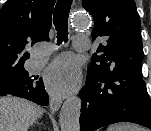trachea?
Returning <instances> with one entry per match:
<instances>
[{"mask_svg": "<svg viewBox=\"0 0 151 131\" xmlns=\"http://www.w3.org/2000/svg\"><path fill=\"white\" fill-rule=\"evenodd\" d=\"M72 0H58L54 9L53 21L57 31V42L68 41V17Z\"/></svg>", "mask_w": 151, "mask_h": 131, "instance_id": "trachea-1", "label": "trachea"}]
</instances>
